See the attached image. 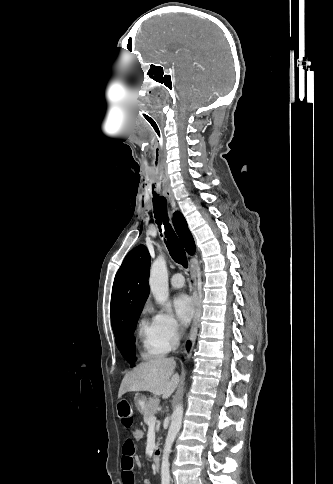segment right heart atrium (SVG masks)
<instances>
[{"mask_svg": "<svg viewBox=\"0 0 333 484\" xmlns=\"http://www.w3.org/2000/svg\"><path fill=\"white\" fill-rule=\"evenodd\" d=\"M152 321L161 347L165 351L176 347L181 337V326L175 317L161 310L154 313Z\"/></svg>", "mask_w": 333, "mask_h": 484, "instance_id": "right-heart-atrium-1", "label": "right heart atrium"}]
</instances>
